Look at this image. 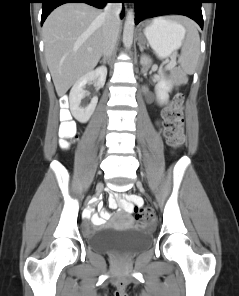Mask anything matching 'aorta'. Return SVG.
<instances>
[{"mask_svg":"<svg viewBox=\"0 0 239 296\" xmlns=\"http://www.w3.org/2000/svg\"><path fill=\"white\" fill-rule=\"evenodd\" d=\"M134 12L129 10L126 16V21L124 24L123 30V44L126 49H130L133 43V34H134Z\"/></svg>","mask_w":239,"mask_h":296,"instance_id":"aorta-1","label":"aorta"}]
</instances>
